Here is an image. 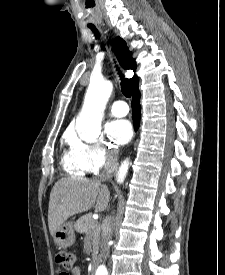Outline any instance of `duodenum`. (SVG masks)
Instances as JSON below:
<instances>
[{
	"mask_svg": "<svg viewBox=\"0 0 225 275\" xmlns=\"http://www.w3.org/2000/svg\"><path fill=\"white\" fill-rule=\"evenodd\" d=\"M95 268H96V258L93 257L92 260H91V264H90V273H91V275H94Z\"/></svg>",
	"mask_w": 225,
	"mask_h": 275,
	"instance_id": "obj_1",
	"label": "duodenum"
}]
</instances>
